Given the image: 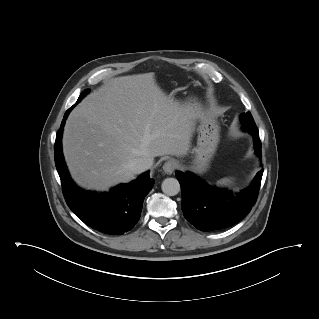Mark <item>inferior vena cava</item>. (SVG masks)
<instances>
[{
    "mask_svg": "<svg viewBox=\"0 0 319 319\" xmlns=\"http://www.w3.org/2000/svg\"><path fill=\"white\" fill-rule=\"evenodd\" d=\"M152 165V158H137L131 161L129 167L133 173L139 174L151 168Z\"/></svg>",
    "mask_w": 319,
    "mask_h": 319,
    "instance_id": "1",
    "label": "inferior vena cava"
}]
</instances>
